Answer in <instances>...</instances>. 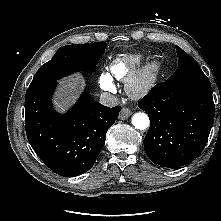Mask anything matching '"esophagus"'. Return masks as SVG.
I'll return each instance as SVG.
<instances>
[{
  "label": "esophagus",
  "mask_w": 221,
  "mask_h": 221,
  "mask_svg": "<svg viewBox=\"0 0 221 221\" xmlns=\"http://www.w3.org/2000/svg\"><path fill=\"white\" fill-rule=\"evenodd\" d=\"M131 115V111L127 108H123L118 116L120 120H125Z\"/></svg>",
  "instance_id": "1"
}]
</instances>
